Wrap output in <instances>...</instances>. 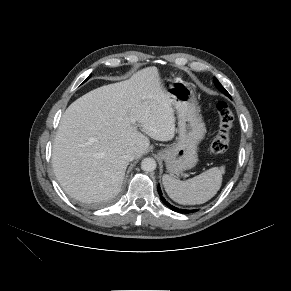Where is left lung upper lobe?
Instances as JSON below:
<instances>
[{
	"label": "left lung upper lobe",
	"instance_id": "1",
	"mask_svg": "<svg viewBox=\"0 0 291 291\" xmlns=\"http://www.w3.org/2000/svg\"><path fill=\"white\" fill-rule=\"evenodd\" d=\"M214 83L216 85V87L223 92L226 96H228L229 98H231V96L229 95V93L225 90V88L218 82V80L216 78H214Z\"/></svg>",
	"mask_w": 291,
	"mask_h": 291
}]
</instances>
